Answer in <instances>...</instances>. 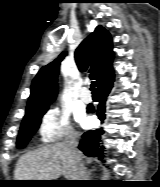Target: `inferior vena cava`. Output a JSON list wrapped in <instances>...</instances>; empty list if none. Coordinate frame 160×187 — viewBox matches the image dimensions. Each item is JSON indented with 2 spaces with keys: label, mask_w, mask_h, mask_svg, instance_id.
<instances>
[{
  "label": "inferior vena cava",
  "mask_w": 160,
  "mask_h": 187,
  "mask_svg": "<svg viewBox=\"0 0 160 187\" xmlns=\"http://www.w3.org/2000/svg\"><path fill=\"white\" fill-rule=\"evenodd\" d=\"M68 151L74 156L77 164H78V180H87L88 175L86 174L85 168L81 162L80 154L77 150L78 142L77 136L75 134H70L68 140L65 142Z\"/></svg>",
  "instance_id": "inferior-vena-cava-1"
}]
</instances>
